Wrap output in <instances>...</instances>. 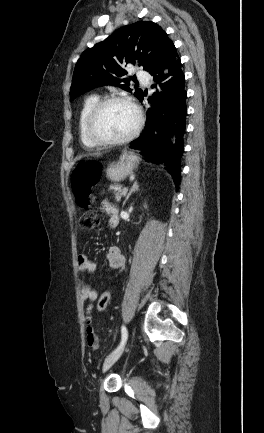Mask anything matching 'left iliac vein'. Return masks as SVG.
Here are the masks:
<instances>
[{
    "instance_id": "left-iliac-vein-1",
    "label": "left iliac vein",
    "mask_w": 264,
    "mask_h": 433,
    "mask_svg": "<svg viewBox=\"0 0 264 433\" xmlns=\"http://www.w3.org/2000/svg\"><path fill=\"white\" fill-rule=\"evenodd\" d=\"M126 342H127V339L118 350H116L114 353H112L110 356H108L106 358V360L103 363V367H102L103 372L107 371L120 358V356L122 355V353L125 349Z\"/></svg>"
}]
</instances>
